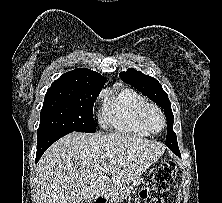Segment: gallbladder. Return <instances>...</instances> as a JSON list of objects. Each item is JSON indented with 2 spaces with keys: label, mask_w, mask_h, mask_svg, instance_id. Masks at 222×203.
Instances as JSON below:
<instances>
[{
  "label": "gallbladder",
  "mask_w": 222,
  "mask_h": 203,
  "mask_svg": "<svg viewBox=\"0 0 222 203\" xmlns=\"http://www.w3.org/2000/svg\"><path fill=\"white\" fill-rule=\"evenodd\" d=\"M81 203H91V202L88 200H84V201H81Z\"/></svg>",
  "instance_id": "bac80fb5"
}]
</instances>
